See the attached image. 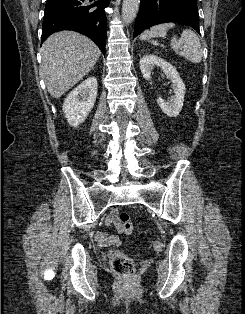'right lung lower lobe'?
I'll use <instances>...</instances> for the list:
<instances>
[{
    "mask_svg": "<svg viewBox=\"0 0 245 314\" xmlns=\"http://www.w3.org/2000/svg\"><path fill=\"white\" fill-rule=\"evenodd\" d=\"M47 0L41 43L52 33L73 30L88 36L105 55L106 15L110 0Z\"/></svg>",
    "mask_w": 245,
    "mask_h": 314,
    "instance_id": "1",
    "label": "right lung lower lobe"
}]
</instances>
